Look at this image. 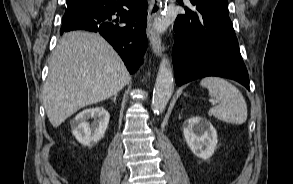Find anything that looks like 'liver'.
I'll use <instances>...</instances> for the list:
<instances>
[{
  "label": "liver",
  "instance_id": "obj_1",
  "mask_svg": "<svg viewBox=\"0 0 293 184\" xmlns=\"http://www.w3.org/2000/svg\"><path fill=\"white\" fill-rule=\"evenodd\" d=\"M131 80L116 51L98 33L71 31L49 60L43 105L54 128L83 107L116 95Z\"/></svg>",
  "mask_w": 293,
  "mask_h": 184
}]
</instances>
